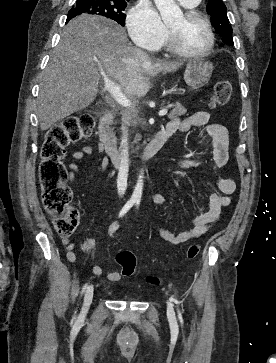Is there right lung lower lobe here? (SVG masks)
<instances>
[{"mask_svg": "<svg viewBox=\"0 0 276 363\" xmlns=\"http://www.w3.org/2000/svg\"><path fill=\"white\" fill-rule=\"evenodd\" d=\"M70 19H72V17H67V21H66V23H67Z\"/></svg>", "mask_w": 276, "mask_h": 363, "instance_id": "98d812e1", "label": "right lung lower lobe"}]
</instances>
